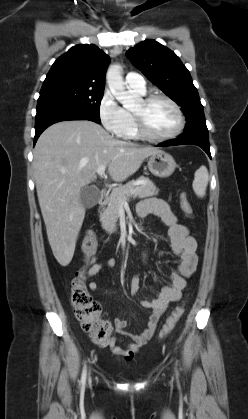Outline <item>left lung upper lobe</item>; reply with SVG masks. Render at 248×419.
<instances>
[{"label": "left lung upper lobe", "mask_w": 248, "mask_h": 419, "mask_svg": "<svg viewBox=\"0 0 248 419\" xmlns=\"http://www.w3.org/2000/svg\"><path fill=\"white\" fill-rule=\"evenodd\" d=\"M152 83L181 107L186 118L184 131L206 125L204 108L191 75L179 57L155 40H145L126 52Z\"/></svg>", "instance_id": "5c2ea615"}]
</instances>
